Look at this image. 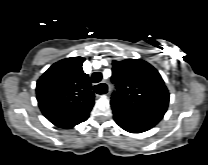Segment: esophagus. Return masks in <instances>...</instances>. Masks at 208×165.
Wrapping results in <instances>:
<instances>
[{
  "label": "esophagus",
  "instance_id": "34e87169",
  "mask_svg": "<svg viewBox=\"0 0 208 165\" xmlns=\"http://www.w3.org/2000/svg\"><path fill=\"white\" fill-rule=\"evenodd\" d=\"M100 84L106 86V93H105V95L109 94V86H108V84L105 83V82H102V83H100Z\"/></svg>",
  "mask_w": 208,
  "mask_h": 165
}]
</instances>
